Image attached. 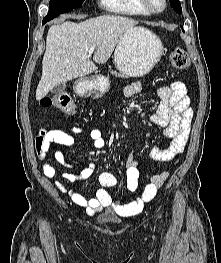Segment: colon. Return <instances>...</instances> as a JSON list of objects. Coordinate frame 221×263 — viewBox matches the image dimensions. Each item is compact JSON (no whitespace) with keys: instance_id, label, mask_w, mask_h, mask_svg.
Returning <instances> with one entry per match:
<instances>
[{"instance_id":"1","label":"colon","mask_w":221,"mask_h":263,"mask_svg":"<svg viewBox=\"0 0 221 263\" xmlns=\"http://www.w3.org/2000/svg\"><path fill=\"white\" fill-rule=\"evenodd\" d=\"M170 62L175 68L178 69H186L189 66L188 55L182 49H174L171 51ZM40 104L44 107H54L66 115L72 116L76 113L75 103L67 94L45 96L40 100ZM37 149L39 154L44 151L43 141L41 138L37 141Z\"/></svg>"}]
</instances>
